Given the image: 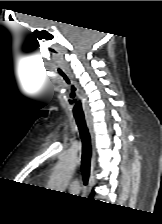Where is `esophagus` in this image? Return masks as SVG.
I'll use <instances>...</instances> for the list:
<instances>
[{
	"label": "esophagus",
	"instance_id": "1",
	"mask_svg": "<svg viewBox=\"0 0 162 224\" xmlns=\"http://www.w3.org/2000/svg\"><path fill=\"white\" fill-rule=\"evenodd\" d=\"M87 126L89 129V133L91 136V143H92V159H91V169L93 170L95 166V160H96V150H95V132H94V126H93V120L92 118H86Z\"/></svg>",
	"mask_w": 162,
	"mask_h": 224
}]
</instances>
